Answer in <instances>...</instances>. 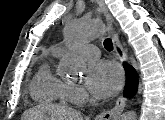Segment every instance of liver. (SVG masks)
<instances>
[{"mask_svg":"<svg viewBox=\"0 0 165 120\" xmlns=\"http://www.w3.org/2000/svg\"><path fill=\"white\" fill-rule=\"evenodd\" d=\"M54 110V115L59 118V120H83L81 114L71 108L66 107H48V106H38L29 109L23 114L22 120H41L48 109Z\"/></svg>","mask_w":165,"mask_h":120,"instance_id":"obj_1","label":"liver"}]
</instances>
